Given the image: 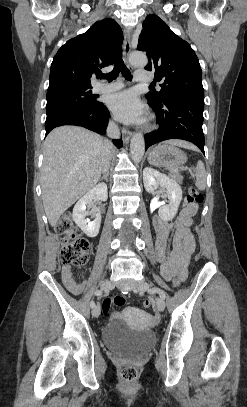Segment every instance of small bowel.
<instances>
[{"mask_svg": "<svg viewBox=\"0 0 247 407\" xmlns=\"http://www.w3.org/2000/svg\"><path fill=\"white\" fill-rule=\"evenodd\" d=\"M197 212L196 205L185 202L179 212L177 222H169L156 216L153 221L156 231V252L161 264L163 277L170 280L178 277L184 280L187 277L188 265L195 250V239L190 230L193 217ZM173 232V250L168 253V241ZM62 279L65 286L74 294H80L86 284V280L77 282L73 277L70 265L62 267Z\"/></svg>", "mask_w": 247, "mask_h": 407, "instance_id": "obj_1", "label": "small bowel"}]
</instances>
